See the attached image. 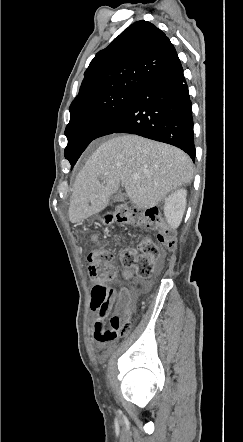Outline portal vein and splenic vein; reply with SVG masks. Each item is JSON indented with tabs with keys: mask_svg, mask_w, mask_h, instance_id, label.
<instances>
[{
	"mask_svg": "<svg viewBox=\"0 0 243 442\" xmlns=\"http://www.w3.org/2000/svg\"><path fill=\"white\" fill-rule=\"evenodd\" d=\"M132 178H133V179H138V178H139V174H138V173H134V174L132 175Z\"/></svg>",
	"mask_w": 243,
	"mask_h": 442,
	"instance_id": "1",
	"label": "portal vein and splenic vein"
}]
</instances>
